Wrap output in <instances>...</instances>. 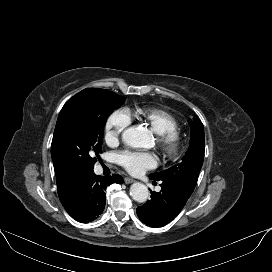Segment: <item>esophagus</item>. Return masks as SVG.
I'll use <instances>...</instances> for the list:
<instances>
[{"label":"esophagus","instance_id":"obj_1","mask_svg":"<svg viewBox=\"0 0 272 272\" xmlns=\"http://www.w3.org/2000/svg\"><path fill=\"white\" fill-rule=\"evenodd\" d=\"M124 182L126 183V184H130V183H133V182H135V180L134 179H131V178H124Z\"/></svg>","mask_w":272,"mask_h":272}]
</instances>
